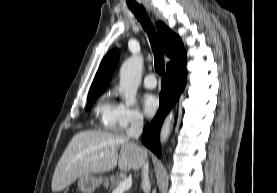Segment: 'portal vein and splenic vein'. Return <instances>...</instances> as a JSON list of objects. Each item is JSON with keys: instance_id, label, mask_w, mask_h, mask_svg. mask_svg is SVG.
<instances>
[{"instance_id": "18ae733b", "label": "portal vein and splenic vein", "mask_w": 277, "mask_h": 193, "mask_svg": "<svg viewBox=\"0 0 277 193\" xmlns=\"http://www.w3.org/2000/svg\"><path fill=\"white\" fill-rule=\"evenodd\" d=\"M132 186V179L131 178H124L119 185L116 187V189L113 191V193H123L126 190H129Z\"/></svg>"}]
</instances>
